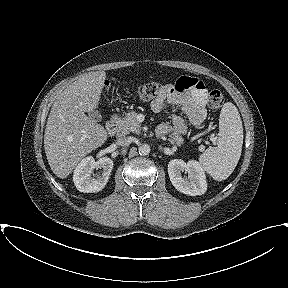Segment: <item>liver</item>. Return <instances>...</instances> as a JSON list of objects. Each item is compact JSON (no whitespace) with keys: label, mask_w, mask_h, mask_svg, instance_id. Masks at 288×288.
Instances as JSON below:
<instances>
[{"label":"liver","mask_w":288,"mask_h":288,"mask_svg":"<svg viewBox=\"0 0 288 288\" xmlns=\"http://www.w3.org/2000/svg\"><path fill=\"white\" fill-rule=\"evenodd\" d=\"M106 73L81 75L56 98L44 134V149L53 173L66 178L86 155L107 140L105 128L85 113L98 107Z\"/></svg>","instance_id":"obj_1"}]
</instances>
